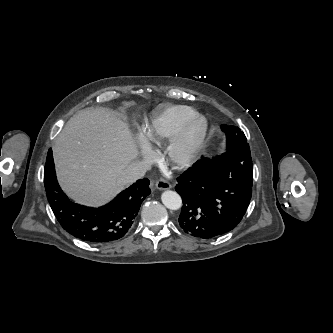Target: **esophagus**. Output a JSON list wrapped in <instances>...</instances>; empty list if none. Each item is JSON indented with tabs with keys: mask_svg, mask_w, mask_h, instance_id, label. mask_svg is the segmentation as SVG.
I'll return each instance as SVG.
<instances>
[{
	"mask_svg": "<svg viewBox=\"0 0 333 333\" xmlns=\"http://www.w3.org/2000/svg\"><path fill=\"white\" fill-rule=\"evenodd\" d=\"M156 188L159 190H168L171 189L172 186L170 185V183H168L166 180L164 179H160L156 182L155 184Z\"/></svg>",
	"mask_w": 333,
	"mask_h": 333,
	"instance_id": "esophagus-1",
	"label": "esophagus"
}]
</instances>
